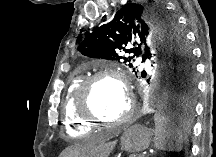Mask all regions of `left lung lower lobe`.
<instances>
[{
    "instance_id": "1",
    "label": "left lung lower lobe",
    "mask_w": 216,
    "mask_h": 157,
    "mask_svg": "<svg viewBox=\"0 0 216 157\" xmlns=\"http://www.w3.org/2000/svg\"><path fill=\"white\" fill-rule=\"evenodd\" d=\"M196 88L197 85L195 83L194 85H188L181 91H178L171 81L163 86L164 92L170 100L171 105L175 107L173 110L174 127L183 135L189 132Z\"/></svg>"
}]
</instances>
